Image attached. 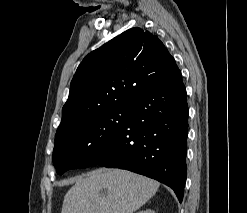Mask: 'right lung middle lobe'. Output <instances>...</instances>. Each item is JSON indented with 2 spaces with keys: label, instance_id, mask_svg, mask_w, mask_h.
<instances>
[{
  "label": "right lung middle lobe",
  "instance_id": "right-lung-middle-lobe-1",
  "mask_svg": "<svg viewBox=\"0 0 247 213\" xmlns=\"http://www.w3.org/2000/svg\"><path fill=\"white\" fill-rule=\"evenodd\" d=\"M132 112L130 101L121 102L55 138L53 164L59 175L72 168L95 164L107 151L113 135Z\"/></svg>",
  "mask_w": 247,
  "mask_h": 213
}]
</instances>
